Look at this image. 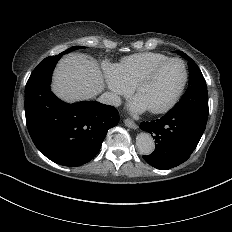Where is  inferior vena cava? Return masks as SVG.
Returning <instances> with one entry per match:
<instances>
[{"mask_svg": "<svg viewBox=\"0 0 232 232\" xmlns=\"http://www.w3.org/2000/svg\"><path fill=\"white\" fill-rule=\"evenodd\" d=\"M98 100L103 104L112 105V106H119L121 104L120 97L111 92L103 93Z\"/></svg>", "mask_w": 232, "mask_h": 232, "instance_id": "inferior-vena-cava-1", "label": "inferior vena cava"}]
</instances>
